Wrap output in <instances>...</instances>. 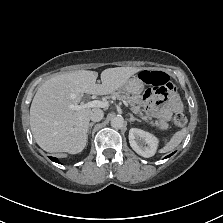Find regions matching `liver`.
I'll return each mask as SVG.
<instances>
[{
    "instance_id": "6515ba94",
    "label": "liver",
    "mask_w": 223,
    "mask_h": 223,
    "mask_svg": "<svg viewBox=\"0 0 223 223\" xmlns=\"http://www.w3.org/2000/svg\"><path fill=\"white\" fill-rule=\"evenodd\" d=\"M135 67L108 68L101 73L79 70L57 75L45 81L36 92L30 108V126L37 144L46 152L77 154L87 143L90 108L70 109L78 105L82 94L107 95L122 88L135 73Z\"/></svg>"
}]
</instances>
